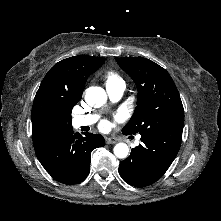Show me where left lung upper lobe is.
Here are the masks:
<instances>
[{"label": "left lung upper lobe", "mask_w": 221, "mask_h": 221, "mask_svg": "<svg viewBox=\"0 0 221 221\" xmlns=\"http://www.w3.org/2000/svg\"><path fill=\"white\" fill-rule=\"evenodd\" d=\"M115 59L138 89L134 114L122 131L181 144L184 109L169 73L143 57Z\"/></svg>", "instance_id": "obj_1"}]
</instances>
